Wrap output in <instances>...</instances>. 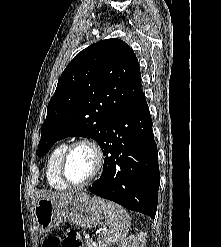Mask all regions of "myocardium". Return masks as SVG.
Returning a JSON list of instances; mask_svg holds the SVG:
<instances>
[{
    "instance_id": "myocardium-1",
    "label": "myocardium",
    "mask_w": 221,
    "mask_h": 247,
    "mask_svg": "<svg viewBox=\"0 0 221 247\" xmlns=\"http://www.w3.org/2000/svg\"><path fill=\"white\" fill-rule=\"evenodd\" d=\"M80 146H85L92 150L94 154V158H95V167H94L92 174L86 180L80 183H74L68 178L67 173H66V167H67V161L71 153L77 147H80ZM105 165H106V154H105V151L102 145L93 138L80 137L76 139L75 141H73L72 143H70L66 151L64 152V155L60 163V177L68 186L75 187V188L86 186L90 184L91 182H93L94 180H96L102 174L105 168Z\"/></svg>"
}]
</instances>
